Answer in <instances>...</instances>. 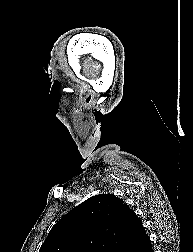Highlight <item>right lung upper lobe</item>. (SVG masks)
I'll return each instance as SVG.
<instances>
[{
  "instance_id": "right-lung-upper-lobe-1",
  "label": "right lung upper lobe",
  "mask_w": 193,
  "mask_h": 252,
  "mask_svg": "<svg viewBox=\"0 0 193 252\" xmlns=\"http://www.w3.org/2000/svg\"><path fill=\"white\" fill-rule=\"evenodd\" d=\"M144 232L122 199L99 194L62 217L39 252H129Z\"/></svg>"
}]
</instances>
